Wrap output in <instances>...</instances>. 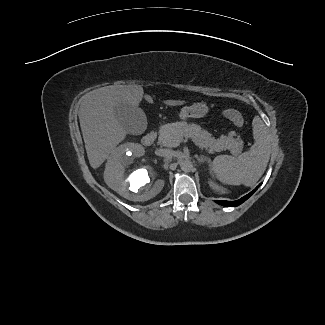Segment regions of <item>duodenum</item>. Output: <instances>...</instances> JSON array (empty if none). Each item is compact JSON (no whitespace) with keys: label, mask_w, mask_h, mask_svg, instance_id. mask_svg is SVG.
<instances>
[{"label":"duodenum","mask_w":325,"mask_h":325,"mask_svg":"<svg viewBox=\"0 0 325 325\" xmlns=\"http://www.w3.org/2000/svg\"><path fill=\"white\" fill-rule=\"evenodd\" d=\"M157 137V132L155 130H151L147 132L143 138H142V143L145 146H150L154 143Z\"/></svg>","instance_id":"obj_1"}]
</instances>
